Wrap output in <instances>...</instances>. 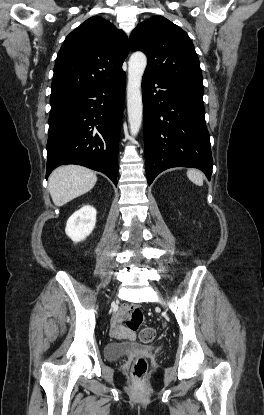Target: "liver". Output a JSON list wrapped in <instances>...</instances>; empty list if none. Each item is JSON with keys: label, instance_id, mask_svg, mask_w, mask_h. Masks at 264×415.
Segmentation results:
<instances>
[{"label": "liver", "instance_id": "1", "mask_svg": "<svg viewBox=\"0 0 264 415\" xmlns=\"http://www.w3.org/2000/svg\"><path fill=\"white\" fill-rule=\"evenodd\" d=\"M96 181V173L92 170L78 165H65L51 173L48 188L54 204L63 206L90 191Z\"/></svg>", "mask_w": 264, "mask_h": 415}]
</instances>
